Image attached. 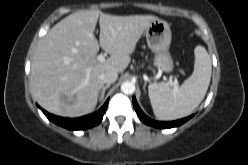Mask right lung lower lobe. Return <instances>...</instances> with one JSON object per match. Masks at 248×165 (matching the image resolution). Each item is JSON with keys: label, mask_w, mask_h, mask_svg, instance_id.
<instances>
[{"label": "right lung lower lobe", "mask_w": 248, "mask_h": 165, "mask_svg": "<svg viewBox=\"0 0 248 165\" xmlns=\"http://www.w3.org/2000/svg\"><path fill=\"white\" fill-rule=\"evenodd\" d=\"M108 101L95 113L83 116L80 118H63V117H58L52 114H49L48 112L42 110V112L46 115V117L51 120L52 122L56 123L59 126H62L64 128L70 129V130H85L91 127L96 126L101 122L103 119V115L106 112Z\"/></svg>", "instance_id": "98d812e1"}]
</instances>
